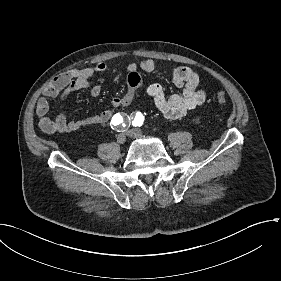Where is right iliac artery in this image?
<instances>
[{
	"label": "right iliac artery",
	"instance_id": "82829eb1",
	"mask_svg": "<svg viewBox=\"0 0 281 281\" xmlns=\"http://www.w3.org/2000/svg\"><path fill=\"white\" fill-rule=\"evenodd\" d=\"M111 126L117 132H124L130 126V118L123 113L115 114L111 119Z\"/></svg>",
	"mask_w": 281,
	"mask_h": 281
}]
</instances>
